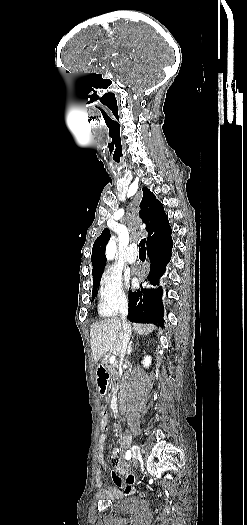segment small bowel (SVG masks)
Segmentation results:
<instances>
[{"instance_id": "c3829d8e", "label": "small bowel", "mask_w": 247, "mask_h": 525, "mask_svg": "<svg viewBox=\"0 0 247 525\" xmlns=\"http://www.w3.org/2000/svg\"><path fill=\"white\" fill-rule=\"evenodd\" d=\"M106 439H107L106 434L102 433L100 435L99 441H98L97 460H98L100 466L96 469L95 484H96V487L98 488V490L100 492H102V493L106 492L108 497H110V498H113V497L119 498V497L122 496V492L120 490H124V487L126 485L125 480L122 479V478H119V475H117V474L111 475V480L115 481L114 482L115 487L120 489V490H116L113 487H110L107 490L104 488V486H105V479H104L102 473L103 472H107V463H106V457H105V453H104ZM111 460L113 461V463H112L113 468H115V469L121 468V466H122V458H121V456L118 453H114L111 456ZM125 479H126V481L129 482V484L126 487L127 492L130 493V494L135 493L136 490H137V485H138L137 480H135L136 476L134 474L128 473V474H126Z\"/></svg>"}]
</instances>
